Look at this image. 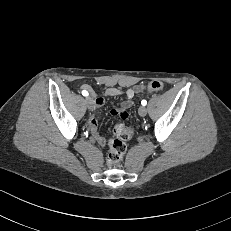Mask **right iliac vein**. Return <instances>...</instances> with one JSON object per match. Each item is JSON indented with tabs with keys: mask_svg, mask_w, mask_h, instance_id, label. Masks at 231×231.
Listing matches in <instances>:
<instances>
[{
	"mask_svg": "<svg viewBox=\"0 0 231 231\" xmlns=\"http://www.w3.org/2000/svg\"><path fill=\"white\" fill-rule=\"evenodd\" d=\"M86 105L89 110H93L95 108V102L91 97L86 98Z\"/></svg>",
	"mask_w": 231,
	"mask_h": 231,
	"instance_id": "right-iliac-vein-1",
	"label": "right iliac vein"
}]
</instances>
